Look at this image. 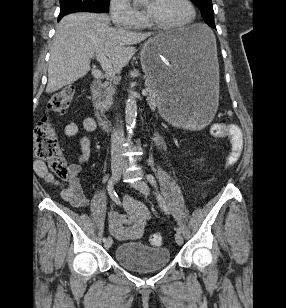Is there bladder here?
Segmentation results:
<instances>
[{
  "label": "bladder",
  "mask_w": 286,
  "mask_h": 308,
  "mask_svg": "<svg viewBox=\"0 0 286 308\" xmlns=\"http://www.w3.org/2000/svg\"><path fill=\"white\" fill-rule=\"evenodd\" d=\"M170 257L168 248L149 247L142 242L121 243L114 250L119 265L138 273L160 270L168 265Z\"/></svg>",
  "instance_id": "obj_1"
}]
</instances>
